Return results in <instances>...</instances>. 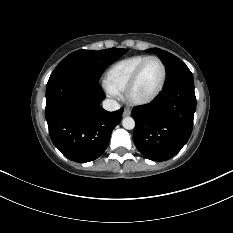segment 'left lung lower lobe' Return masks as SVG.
<instances>
[{
	"label": "left lung lower lobe",
	"mask_w": 233,
	"mask_h": 233,
	"mask_svg": "<svg viewBox=\"0 0 233 233\" xmlns=\"http://www.w3.org/2000/svg\"><path fill=\"white\" fill-rule=\"evenodd\" d=\"M195 109L194 83L164 88L153 102L134 108L133 140L138 150L153 161L175 156L191 135Z\"/></svg>",
	"instance_id": "0a47b994"
}]
</instances>
